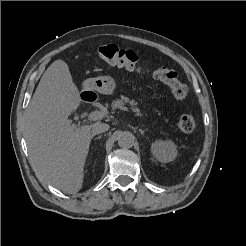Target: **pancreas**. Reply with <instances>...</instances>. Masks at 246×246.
<instances>
[{
    "label": "pancreas",
    "mask_w": 246,
    "mask_h": 246,
    "mask_svg": "<svg viewBox=\"0 0 246 246\" xmlns=\"http://www.w3.org/2000/svg\"><path fill=\"white\" fill-rule=\"evenodd\" d=\"M124 104H129L132 106L137 113V115H141L140 109L137 107V102L135 100H130L128 97H123L122 99H116L112 102V109H117L123 106Z\"/></svg>",
    "instance_id": "1"
}]
</instances>
